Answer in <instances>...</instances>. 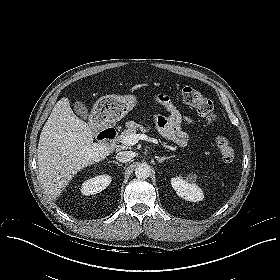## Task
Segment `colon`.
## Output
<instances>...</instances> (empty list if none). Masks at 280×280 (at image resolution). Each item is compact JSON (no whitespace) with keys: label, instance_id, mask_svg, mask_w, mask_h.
<instances>
[{"label":"colon","instance_id":"colon-1","mask_svg":"<svg viewBox=\"0 0 280 280\" xmlns=\"http://www.w3.org/2000/svg\"><path fill=\"white\" fill-rule=\"evenodd\" d=\"M182 101L194 107L199 116L210 126H215L218 122V116L212 101L203 96L197 89L185 86L181 89ZM215 144L220 157L224 163H232L235 159V150L231 146L229 139L222 133L215 137Z\"/></svg>","mask_w":280,"mask_h":280}]
</instances>
